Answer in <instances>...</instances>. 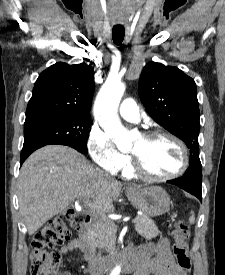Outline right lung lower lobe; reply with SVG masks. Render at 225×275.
Here are the masks:
<instances>
[{
  "label": "right lung lower lobe",
  "instance_id": "98d812e1",
  "mask_svg": "<svg viewBox=\"0 0 225 275\" xmlns=\"http://www.w3.org/2000/svg\"><path fill=\"white\" fill-rule=\"evenodd\" d=\"M43 146H45V145L44 144H35V145L23 147L22 152H21V165L32 152H34L35 150H37L38 148L43 147Z\"/></svg>",
  "mask_w": 225,
  "mask_h": 275
}]
</instances>
